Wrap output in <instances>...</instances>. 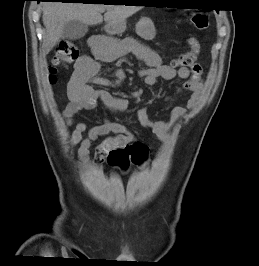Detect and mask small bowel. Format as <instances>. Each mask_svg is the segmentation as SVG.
<instances>
[{"mask_svg": "<svg viewBox=\"0 0 259 266\" xmlns=\"http://www.w3.org/2000/svg\"><path fill=\"white\" fill-rule=\"evenodd\" d=\"M90 46L91 54L83 55L76 61L73 75L68 83L67 92L70 101L63 111L67 124L72 125L73 117L78 112L94 109L99 102L111 112H122L127 109V100L105 90L94 89L90 86V82L101 85L120 83L124 78L121 70L116 72L114 83L97 77L100 61L116 59L132 53L146 66L140 70L139 75L147 85H154L159 78L172 80L178 76L185 80L178 92L187 91L190 93V98L186 106L178 105L172 109L169 120H154L148 116L146 109L139 110L141 124L151 130L161 142L167 143L174 124L184 117L188 110L197 106L204 86L201 66L195 64L190 68L181 67L175 70L164 64L157 52L130 38L116 40L106 36H95L91 39ZM85 132L87 134L83 137ZM102 136L107 137L95 148L94 162L97 165L108 161L112 151L137 142L135 132L109 119H104L101 124L91 128L83 122L77 123L72 133L71 143L79 145L78 156L82 162L85 163L90 159L92 143Z\"/></svg>", "mask_w": 259, "mask_h": 266, "instance_id": "1", "label": "small bowel"}]
</instances>
